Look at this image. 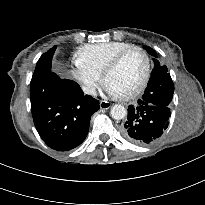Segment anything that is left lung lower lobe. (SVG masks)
<instances>
[{"label":"left lung lower lobe","mask_w":205,"mask_h":205,"mask_svg":"<svg viewBox=\"0 0 205 205\" xmlns=\"http://www.w3.org/2000/svg\"><path fill=\"white\" fill-rule=\"evenodd\" d=\"M170 116L169 104L141 98L135 105H129L121 133L135 144H151L166 130Z\"/></svg>","instance_id":"1"}]
</instances>
